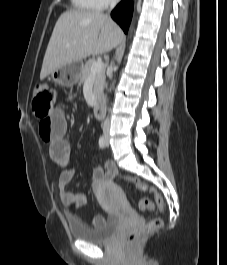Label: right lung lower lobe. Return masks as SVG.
<instances>
[{"label": "right lung lower lobe", "mask_w": 227, "mask_h": 265, "mask_svg": "<svg viewBox=\"0 0 227 265\" xmlns=\"http://www.w3.org/2000/svg\"><path fill=\"white\" fill-rule=\"evenodd\" d=\"M133 3L120 2L112 11V18L121 26L125 33H127L129 24L132 18Z\"/></svg>", "instance_id": "1"}]
</instances>
